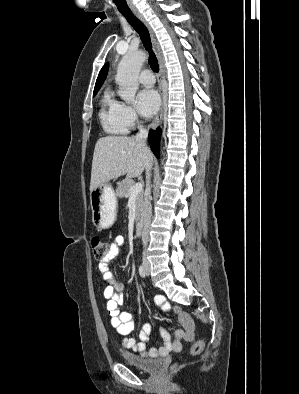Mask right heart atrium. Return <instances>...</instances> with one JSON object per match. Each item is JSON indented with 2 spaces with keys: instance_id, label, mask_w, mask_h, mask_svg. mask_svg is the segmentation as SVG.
<instances>
[{
  "instance_id": "d8ad5b80",
  "label": "right heart atrium",
  "mask_w": 299,
  "mask_h": 394,
  "mask_svg": "<svg viewBox=\"0 0 299 394\" xmlns=\"http://www.w3.org/2000/svg\"><path fill=\"white\" fill-rule=\"evenodd\" d=\"M122 115L128 129L134 128L139 123V117L135 109L130 105H123Z\"/></svg>"
}]
</instances>
